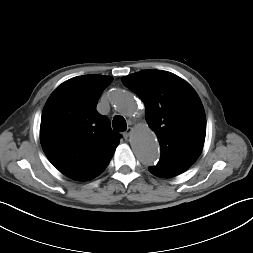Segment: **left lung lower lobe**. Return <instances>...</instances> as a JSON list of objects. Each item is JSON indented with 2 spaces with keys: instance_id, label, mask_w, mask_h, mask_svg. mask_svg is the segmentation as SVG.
I'll return each mask as SVG.
<instances>
[{
  "instance_id": "1",
  "label": "left lung lower lobe",
  "mask_w": 253,
  "mask_h": 253,
  "mask_svg": "<svg viewBox=\"0 0 253 253\" xmlns=\"http://www.w3.org/2000/svg\"><path fill=\"white\" fill-rule=\"evenodd\" d=\"M149 171L158 177H173L183 173L186 170L156 165L149 167Z\"/></svg>"
}]
</instances>
